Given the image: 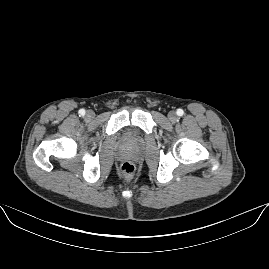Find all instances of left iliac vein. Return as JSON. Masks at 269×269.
Listing matches in <instances>:
<instances>
[{
	"label": "left iliac vein",
	"instance_id": "1",
	"mask_svg": "<svg viewBox=\"0 0 269 269\" xmlns=\"http://www.w3.org/2000/svg\"><path fill=\"white\" fill-rule=\"evenodd\" d=\"M168 119L172 122H175L177 120V115L174 111H171L168 113Z\"/></svg>",
	"mask_w": 269,
	"mask_h": 269
}]
</instances>
